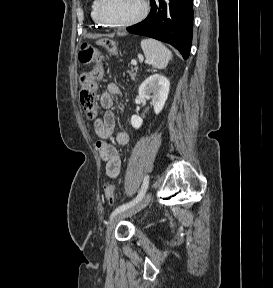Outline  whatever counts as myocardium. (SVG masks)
Listing matches in <instances>:
<instances>
[{"mask_svg": "<svg viewBox=\"0 0 273 288\" xmlns=\"http://www.w3.org/2000/svg\"><path fill=\"white\" fill-rule=\"evenodd\" d=\"M104 2H105V0H98V6H97L98 18L100 19V21L104 25H106L108 27H112V28H126V27H130L132 25H135V24L141 22L148 15V12H149L148 0H142L141 1L142 2V10L138 15H136L132 19L124 21V22H113V21L108 20L103 13Z\"/></svg>", "mask_w": 273, "mask_h": 288, "instance_id": "f54148a6", "label": "myocardium"}]
</instances>
